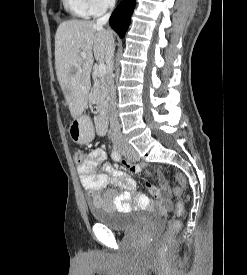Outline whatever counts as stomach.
I'll use <instances>...</instances> for the list:
<instances>
[{
    "instance_id": "1",
    "label": "stomach",
    "mask_w": 247,
    "mask_h": 275,
    "mask_svg": "<svg viewBox=\"0 0 247 275\" xmlns=\"http://www.w3.org/2000/svg\"><path fill=\"white\" fill-rule=\"evenodd\" d=\"M70 137L79 144L89 142L92 137V131L89 125H83L80 120H74L70 126Z\"/></svg>"
}]
</instances>
